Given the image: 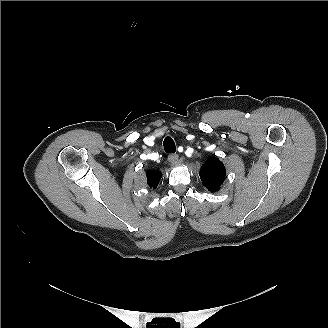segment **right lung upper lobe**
I'll list each match as a JSON object with an SVG mask.
<instances>
[{
    "label": "right lung upper lobe",
    "mask_w": 328,
    "mask_h": 328,
    "mask_svg": "<svg viewBox=\"0 0 328 328\" xmlns=\"http://www.w3.org/2000/svg\"><path fill=\"white\" fill-rule=\"evenodd\" d=\"M147 184L150 186V188L155 189L157 185L159 184V181L162 177V174L160 172H153V171H147Z\"/></svg>",
    "instance_id": "cb5924a9"
}]
</instances>
